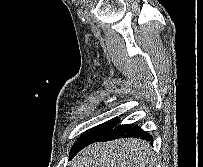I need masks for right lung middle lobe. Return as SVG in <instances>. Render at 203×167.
I'll return each instance as SVG.
<instances>
[{
  "label": "right lung middle lobe",
  "instance_id": "right-lung-middle-lobe-1",
  "mask_svg": "<svg viewBox=\"0 0 203 167\" xmlns=\"http://www.w3.org/2000/svg\"><path fill=\"white\" fill-rule=\"evenodd\" d=\"M119 122L117 118L109 120L101 125L96 126L94 129L83 135L72 147L70 156L78 153L84 146H86L91 141L99 138L106 133H108L111 129H113L116 124Z\"/></svg>",
  "mask_w": 203,
  "mask_h": 167
}]
</instances>
